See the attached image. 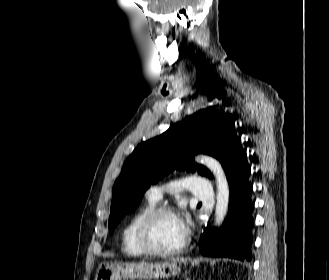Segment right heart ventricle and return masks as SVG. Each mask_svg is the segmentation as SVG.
Returning a JSON list of instances; mask_svg holds the SVG:
<instances>
[{
  "label": "right heart ventricle",
  "instance_id": "obj_1",
  "mask_svg": "<svg viewBox=\"0 0 329 280\" xmlns=\"http://www.w3.org/2000/svg\"><path fill=\"white\" fill-rule=\"evenodd\" d=\"M156 201L147 198V201L140 206L129 218L122 230V251L131 257H140L146 253L142 250L136 240V229L143 216L154 208Z\"/></svg>",
  "mask_w": 329,
  "mask_h": 280
}]
</instances>
